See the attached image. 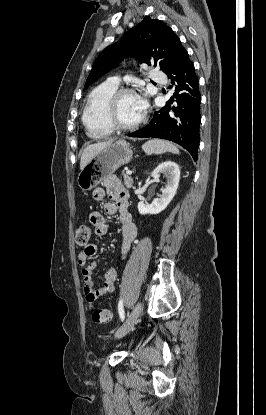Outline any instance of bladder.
<instances>
[{
    "label": "bladder",
    "instance_id": "bladder-1",
    "mask_svg": "<svg viewBox=\"0 0 266 415\" xmlns=\"http://www.w3.org/2000/svg\"><path fill=\"white\" fill-rule=\"evenodd\" d=\"M106 346H107V345H106V344H104V348H106Z\"/></svg>",
    "mask_w": 266,
    "mask_h": 415
}]
</instances>
